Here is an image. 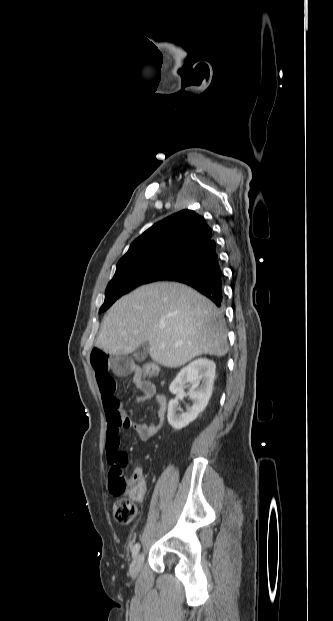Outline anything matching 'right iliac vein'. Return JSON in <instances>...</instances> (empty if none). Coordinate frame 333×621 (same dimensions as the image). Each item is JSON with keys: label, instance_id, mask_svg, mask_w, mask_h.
<instances>
[{"label": "right iliac vein", "instance_id": "1", "mask_svg": "<svg viewBox=\"0 0 333 621\" xmlns=\"http://www.w3.org/2000/svg\"><path fill=\"white\" fill-rule=\"evenodd\" d=\"M143 559H144V556H143L142 553L138 554L134 558L133 563H132V565L130 567V573H131L132 577H136L138 575V573H139V571L141 569V565L143 563Z\"/></svg>", "mask_w": 333, "mask_h": 621}]
</instances>
